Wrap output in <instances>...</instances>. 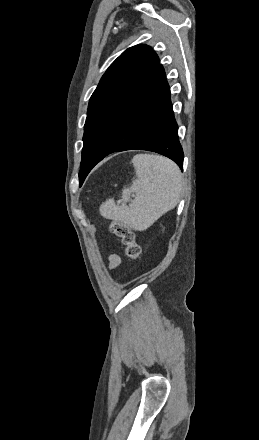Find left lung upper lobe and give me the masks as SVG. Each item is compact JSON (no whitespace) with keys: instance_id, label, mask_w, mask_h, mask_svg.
<instances>
[{"instance_id":"left-lung-upper-lobe-1","label":"left lung upper lobe","mask_w":259,"mask_h":440,"mask_svg":"<svg viewBox=\"0 0 259 440\" xmlns=\"http://www.w3.org/2000/svg\"><path fill=\"white\" fill-rule=\"evenodd\" d=\"M159 58L151 47L136 45L124 51L107 69L92 94L84 126L80 185L117 126L149 84Z\"/></svg>"}]
</instances>
